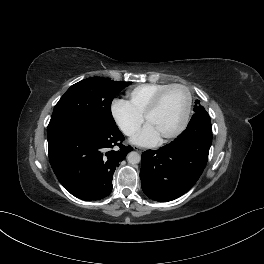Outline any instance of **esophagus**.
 <instances>
[{
	"label": "esophagus",
	"instance_id": "34e87169",
	"mask_svg": "<svg viewBox=\"0 0 264 264\" xmlns=\"http://www.w3.org/2000/svg\"><path fill=\"white\" fill-rule=\"evenodd\" d=\"M133 149H134L135 151L139 152V153L143 152V149H141V148H139V147H134Z\"/></svg>",
	"mask_w": 264,
	"mask_h": 264
}]
</instances>
